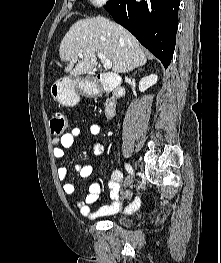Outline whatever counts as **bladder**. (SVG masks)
<instances>
[{
    "instance_id": "31cf9c89",
    "label": "bladder",
    "mask_w": 221,
    "mask_h": 263,
    "mask_svg": "<svg viewBox=\"0 0 221 263\" xmlns=\"http://www.w3.org/2000/svg\"><path fill=\"white\" fill-rule=\"evenodd\" d=\"M114 221L124 227H129L132 223L131 220L127 218H116Z\"/></svg>"
}]
</instances>
